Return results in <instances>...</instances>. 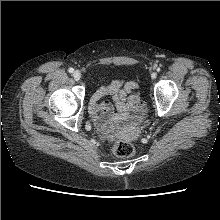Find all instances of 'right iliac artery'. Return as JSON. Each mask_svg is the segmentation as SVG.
I'll return each mask as SVG.
<instances>
[{
  "label": "right iliac artery",
  "instance_id": "obj_1",
  "mask_svg": "<svg viewBox=\"0 0 220 220\" xmlns=\"http://www.w3.org/2000/svg\"><path fill=\"white\" fill-rule=\"evenodd\" d=\"M70 73H73L74 72V69L73 68H69L68 70Z\"/></svg>",
  "mask_w": 220,
  "mask_h": 220
}]
</instances>
